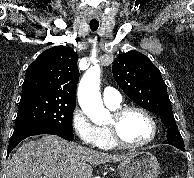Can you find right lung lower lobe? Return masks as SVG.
Returning <instances> with one entry per match:
<instances>
[{
    "label": "right lung lower lobe",
    "mask_w": 194,
    "mask_h": 178,
    "mask_svg": "<svg viewBox=\"0 0 194 178\" xmlns=\"http://www.w3.org/2000/svg\"><path fill=\"white\" fill-rule=\"evenodd\" d=\"M38 134H53L58 135L64 139H67L69 141H72L74 139V135L72 132H64V131H58L50 127L46 126H40V125H29V126H23L19 128H15L13 135L10 140V144L8 146V154L12 151V149L19 144L23 139L38 135Z\"/></svg>",
    "instance_id": "1"
}]
</instances>
